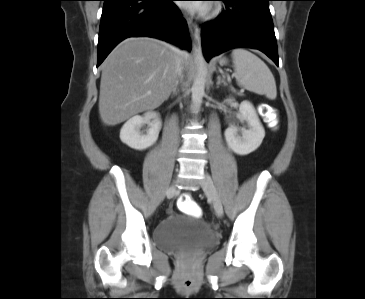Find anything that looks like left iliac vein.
Masks as SVG:
<instances>
[{
  "instance_id": "left-iliac-vein-1",
  "label": "left iliac vein",
  "mask_w": 365,
  "mask_h": 299,
  "mask_svg": "<svg viewBox=\"0 0 365 299\" xmlns=\"http://www.w3.org/2000/svg\"><path fill=\"white\" fill-rule=\"evenodd\" d=\"M202 188L209 199L212 201L214 210L218 217L223 216V206L221 200L218 196L217 190L213 184L211 177L208 174L204 175V178L201 181Z\"/></svg>"
}]
</instances>
